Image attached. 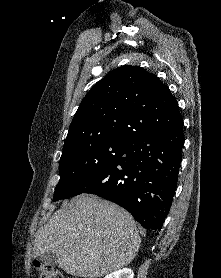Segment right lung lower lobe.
<instances>
[{
    "label": "right lung lower lobe",
    "mask_w": 221,
    "mask_h": 278,
    "mask_svg": "<svg viewBox=\"0 0 221 278\" xmlns=\"http://www.w3.org/2000/svg\"><path fill=\"white\" fill-rule=\"evenodd\" d=\"M183 145V121L136 136L121 158L73 196L98 195L128 210L144 228L160 230L173 200Z\"/></svg>",
    "instance_id": "98d812e1"
}]
</instances>
